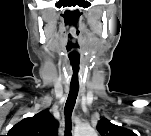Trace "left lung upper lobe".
I'll return each instance as SVG.
<instances>
[{"label": "left lung upper lobe", "instance_id": "obj_1", "mask_svg": "<svg viewBox=\"0 0 151 136\" xmlns=\"http://www.w3.org/2000/svg\"><path fill=\"white\" fill-rule=\"evenodd\" d=\"M97 130L102 136H129L132 134V131L114 125L105 118L98 122Z\"/></svg>", "mask_w": 151, "mask_h": 136}]
</instances>
